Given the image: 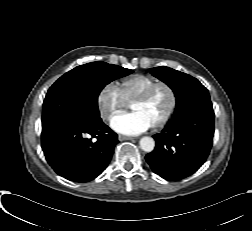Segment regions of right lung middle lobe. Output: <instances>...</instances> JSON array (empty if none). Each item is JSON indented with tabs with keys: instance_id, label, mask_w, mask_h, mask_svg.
Wrapping results in <instances>:
<instances>
[{
	"instance_id": "right-lung-middle-lobe-1",
	"label": "right lung middle lobe",
	"mask_w": 252,
	"mask_h": 231,
	"mask_svg": "<svg viewBox=\"0 0 252 231\" xmlns=\"http://www.w3.org/2000/svg\"><path fill=\"white\" fill-rule=\"evenodd\" d=\"M130 73V69L101 61L77 66L48 90L43 103L42 125L61 116L99 119L97 100L100 91L111 81Z\"/></svg>"
}]
</instances>
